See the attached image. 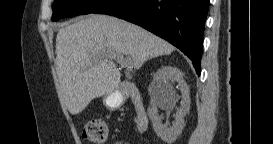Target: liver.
Listing matches in <instances>:
<instances>
[{"label": "liver", "mask_w": 273, "mask_h": 144, "mask_svg": "<svg viewBox=\"0 0 273 144\" xmlns=\"http://www.w3.org/2000/svg\"><path fill=\"white\" fill-rule=\"evenodd\" d=\"M174 49L142 27L108 15L92 14L66 24L56 37V70L66 107L72 115L79 114L92 99L118 88L121 73L108 53L128 55L139 69Z\"/></svg>", "instance_id": "6515ba94"}]
</instances>
